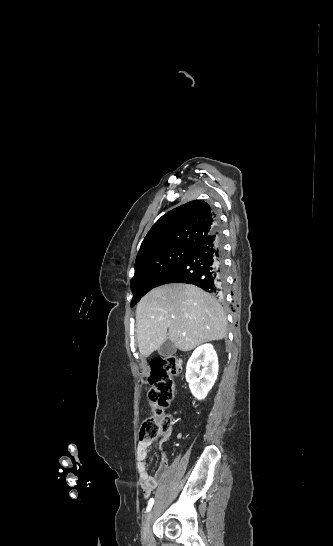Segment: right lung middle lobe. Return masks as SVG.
Returning <instances> with one entry per match:
<instances>
[{
  "label": "right lung middle lobe",
  "mask_w": 333,
  "mask_h": 546,
  "mask_svg": "<svg viewBox=\"0 0 333 546\" xmlns=\"http://www.w3.org/2000/svg\"><path fill=\"white\" fill-rule=\"evenodd\" d=\"M192 247H173L158 252L135 264V275L131 279L133 307L148 291L156 287L159 281L181 262Z\"/></svg>",
  "instance_id": "1"
}]
</instances>
